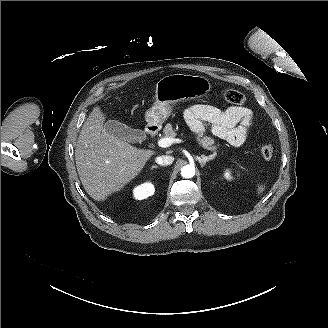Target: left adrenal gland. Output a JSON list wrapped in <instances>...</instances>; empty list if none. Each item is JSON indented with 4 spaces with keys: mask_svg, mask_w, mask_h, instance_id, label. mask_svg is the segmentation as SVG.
<instances>
[{
    "mask_svg": "<svg viewBox=\"0 0 328 328\" xmlns=\"http://www.w3.org/2000/svg\"><path fill=\"white\" fill-rule=\"evenodd\" d=\"M196 159H198L201 163V166L204 167L206 166L207 163L211 162L213 160L212 156H201V157H198L196 156Z\"/></svg>",
    "mask_w": 328,
    "mask_h": 328,
    "instance_id": "obj_1",
    "label": "left adrenal gland"
}]
</instances>
